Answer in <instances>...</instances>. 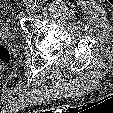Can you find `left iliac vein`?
<instances>
[{"label":"left iliac vein","instance_id":"obj_1","mask_svg":"<svg viewBox=\"0 0 113 113\" xmlns=\"http://www.w3.org/2000/svg\"><path fill=\"white\" fill-rule=\"evenodd\" d=\"M34 11H35V6L34 5H29L28 7H27V13L28 14H33L34 13Z\"/></svg>","mask_w":113,"mask_h":113}]
</instances>
